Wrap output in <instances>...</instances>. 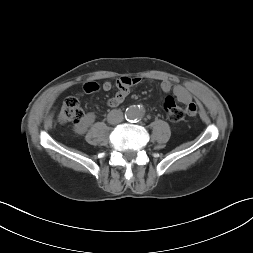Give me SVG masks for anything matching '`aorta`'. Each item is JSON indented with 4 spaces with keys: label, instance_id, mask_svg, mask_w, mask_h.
Masks as SVG:
<instances>
[{
    "label": "aorta",
    "instance_id": "obj_1",
    "mask_svg": "<svg viewBox=\"0 0 253 253\" xmlns=\"http://www.w3.org/2000/svg\"><path fill=\"white\" fill-rule=\"evenodd\" d=\"M144 109L139 107V106H130L129 108H127L126 112H125V117L128 120H140L143 116H144Z\"/></svg>",
    "mask_w": 253,
    "mask_h": 253
}]
</instances>
